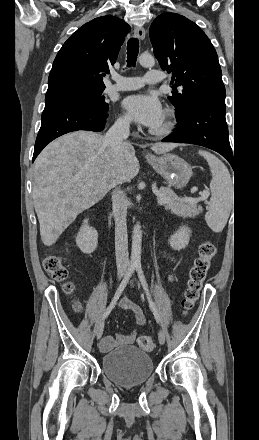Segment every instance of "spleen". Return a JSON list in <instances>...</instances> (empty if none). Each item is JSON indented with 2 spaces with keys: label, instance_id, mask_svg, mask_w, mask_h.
<instances>
[{
  "label": "spleen",
  "instance_id": "obj_1",
  "mask_svg": "<svg viewBox=\"0 0 259 440\" xmlns=\"http://www.w3.org/2000/svg\"><path fill=\"white\" fill-rule=\"evenodd\" d=\"M199 154L207 160L212 174L211 198L205 220L210 229L218 233L225 227L232 208V179L227 167L215 155L207 151H199Z\"/></svg>",
  "mask_w": 259,
  "mask_h": 440
}]
</instances>
